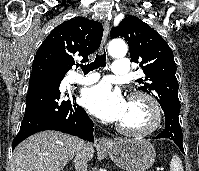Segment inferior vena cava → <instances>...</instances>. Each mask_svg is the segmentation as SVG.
Segmentation results:
<instances>
[{
	"label": "inferior vena cava",
	"mask_w": 199,
	"mask_h": 171,
	"mask_svg": "<svg viewBox=\"0 0 199 171\" xmlns=\"http://www.w3.org/2000/svg\"><path fill=\"white\" fill-rule=\"evenodd\" d=\"M87 158L84 151V142L80 141L79 147L75 152V170L76 171H88L87 170Z\"/></svg>",
	"instance_id": "602c4592"
}]
</instances>
